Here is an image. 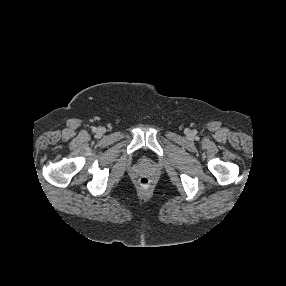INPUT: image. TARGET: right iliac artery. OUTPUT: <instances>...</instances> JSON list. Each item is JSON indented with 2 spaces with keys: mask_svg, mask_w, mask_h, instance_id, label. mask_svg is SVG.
Listing matches in <instances>:
<instances>
[{
  "mask_svg": "<svg viewBox=\"0 0 286 286\" xmlns=\"http://www.w3.org/2000/svg\"><path fill=\"white\" fill-rule=\"evenodd\" d=\"M97 131V128L96 127H93L92 128V132H96Z\"/></svg>",
  "mask_w": 286,
  "mask_h": 286,
  "instance_id": "right-iliac-artery-1",
  "label": "right iliac artery"
}]
</instances>
